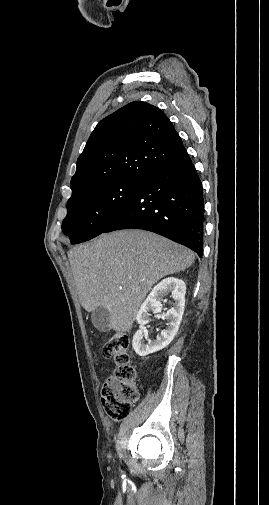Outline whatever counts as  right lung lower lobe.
Instances as JSON below:
<instances>
[{"mask_svg": "<svg viewBox=\"0 0 269 505\" xmlns=\"http://www.w3.org/2000/svg\"><path fill=\"white\" fill-rule=\"evenodd\" d=\"M144 229L203 255L204 196L187 152L159 166L103 231Z\"/></svg>", "mask_w": 269, "mask_h": 505, "instance_id": "98d812e1", "label": "right lung lower lobe"}]
</instances>
